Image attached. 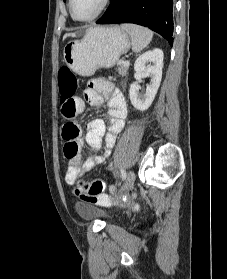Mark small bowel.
Instances as JSON below:
<instances>
[{"label": "small bowel", "instance_id": "1", "mask_svg": "<svg viewBox=\"0 0 227 279\" xmlns=\"http://www.w3.org/2000/svg\"><path fill=\"white\" fill-rule=\"evenodd\" d=\"M75 101L78 105L77 115L85 111L86 104L92 107H102L105 101H107L109 111L105 120L99 118L93 119L87 123L85 129V141L88 146L93 151L98 152L104 143L106 145L105 151L89 157L84 162L81 161L79 155L70 159L65 173V182L69 185H74L83 174L105 162L117 135L124 127V121L128 115V108L123 94L112 82L107 80H91L84 91V100L76 98ZM69 124H73L79 128V133L75 141L80 148L82 128L75 122H69ZM131 206L136 205L132 203Z\"/></svg>", "mask_w": 227, "mask_h": 279}]
</instances>
